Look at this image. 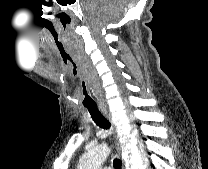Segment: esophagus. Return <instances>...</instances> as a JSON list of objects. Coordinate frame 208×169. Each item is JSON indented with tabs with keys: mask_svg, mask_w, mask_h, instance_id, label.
Instances as JSON below:
<instances>
[{
	"mask_svg": "<svg viewBox=\"0 0 208 169\" xmlns=\"http://www.w3.org/2000/svg\"><path fill=\"white\" fill-rule=\"evenodd\" d=\"M100 111L103 113V115L111 122H112V117L106 106H100ZM114 140H115V145H116V150H117V155L120 157L121 156V144L119 141V136L117 135L116 131H114ZM122 169H125V163L122 161Z\"/></svg>",
	"mask_w": 208,
	"mask_h": 169,
	"instance_id": "obj_1",
	"label": "esophagus"
}]
</instances>
